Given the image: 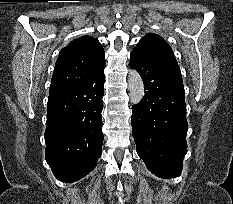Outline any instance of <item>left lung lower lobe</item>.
<instances>
[{
    "label": "left lung lower lobe",
    "mask_w": 233,
    "mask_h": 204,
    "mask_svg": "<svg viewBox=\"0 0 233 204\" xmlns=\"http://www.w3.org/2000/svg\"><path fill=\"white\" fill-rule=\"evenodd\" d=\"M130 67L144 80L145 95L132 107V134L147 168L162 178H175L187 152L185 91L178 65L138 50Z\"/></svg>",
    "instance_id": "obj_1"
}]
</instances>
